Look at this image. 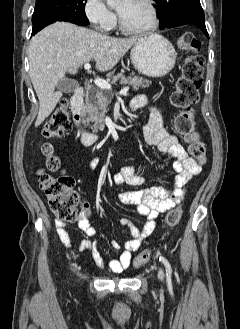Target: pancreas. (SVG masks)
<instances>
[{
    "label": "pancreas",
    "instance_id": "obj_1",
    "mask_svg": "<svg viewBox=\"0 0 240 329\" xmlns=\"http://www.w3.org/2000/svg\"><path fill=\"white\" fill-rule=\"evenodd\" d=\"M120 80L121 84H129L133 90L137 91L139 88H146L151 84V81L139 76L125 77L123 73H118L112 77V84ZM113 95L95 87L87 89L86 103L83 107L85 113L84 123L87 125L93 123L90 127L93 132L102 131L105 128V115L108 111V105L111 103Z\"/></svg>",
    "mask_w": 240,
    "mask_h": 329
}]
</instances>
